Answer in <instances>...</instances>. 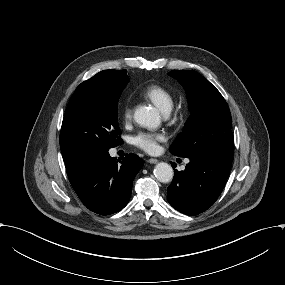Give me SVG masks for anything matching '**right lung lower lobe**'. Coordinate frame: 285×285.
Listing matches in <instances>:
<instances>
[{"label": "right lung lower lobe", "instance_id": "1", "mask_svg": "<svg viewBox=\"0 0 285 285\" xmlns=\"http://www.w3.org/2000/svg\"><path fill=\"white\" fill-rule=\"evenodd\" d=\"M108 151L87 153L65 161L69 181L81 202L91 211L109 215L124 208L131 196L132 183L143 166L130 153L120 161Z\"/></svg>", "mask_w": 285, "mask_h": 285}]
</instances>
